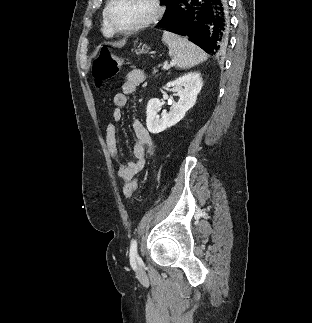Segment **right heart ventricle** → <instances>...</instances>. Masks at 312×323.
<instances>
[{
    "label": "right heart ventricle",
    "mask_w": 312,
    "mask_h": 323,
    "mask_svg": "<svg viewBox=\"0 0 312 323\" xmlns=\"http://www.w3.org/2000/svg\"><path fill=\"white\" fill-rule=\"evenodd\" d=\"M98 22L101 33H110L112 24L108 21V18H99Z\"/></svg>",
    "instance_id": "obj_1"
}]
</instances>
